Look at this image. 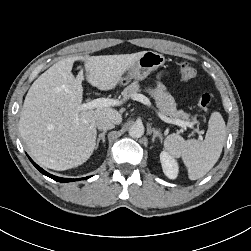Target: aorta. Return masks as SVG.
<instances>
[{
  "instance_id": "1",
  "label": "aorta",
  "mask_w": 251,
  "mask_h": 251,
  "mask_svg": "<svg viewBox=\"0 0 251 251\" xmlns=\"http://www.w3.org/2000/svg\"><path fill=\"white\" fill-rule=\"evenodd\" d=\"M144 134V126L141 123H135L129 129V135L132 138H140Z\"/></svg>"
}]
</instances>
